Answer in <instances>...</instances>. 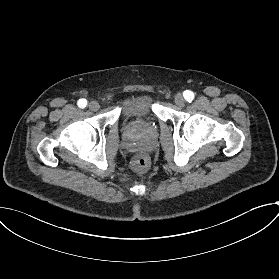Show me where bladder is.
<instances>
[{"instance_id":"obj_1","label":"bladder","mask_w":279,"mask_h":279,"mask_svg":"<svg viewBox=\"0 0 279 279\" xmlns=\"http://www.w3.org/2000/svg\"><path fill=\"white\" fill-rule=\"evenodd\" d=\"M154 108L155 99L153 95L144 92L130 95L119 106L123 120H125L126 115L135 113L152 116Z\"/></svg>"}]
</instances>
